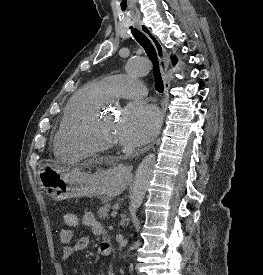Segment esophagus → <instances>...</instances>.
I'll return each mask as SVG.
<instances>
[{"label": "esophagus", "mask_w": 263, "mask_h": 275, "mask_svg": "<svg viewBox=\"0 0 263 275\" xmlns=\"http://www.w3.org/2000/svg\"><path fill=\"white\" fill-rule=\"evenodd\" d=\"M138 28L152 42V44L156 50L158 60H159L160 71H161L163 83H164V99L162 101V122H163V118L165 116L166 109H167L168 98H169V89H170V76L168 73L169 57H168L167 51L164 48V46L161 44V42L158 40V38L152 33V31L145 24H139ZM154 144H155V140H153L152 143H150L147 147H145L144 150L145 151L149 150ZM124 168L127 171L132 170L131 165L125 166Z\"/></svg>", "instance_id": "34e87169"}]
</instances>
